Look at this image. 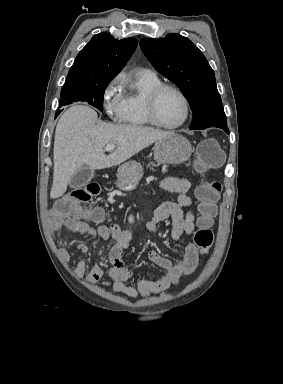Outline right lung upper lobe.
Masks as SVG:
<instances>
[{
  "label": "right lung upper lobe",
  "instance_id": "obj_1",
  "mask_svg": "<svg viewBox=\"0 0 283 384\" xmlns=\"http://www.w3.org/2000/svg\"><path fill=\"white\" fill-rule=\"evenodd\" d=\"M137 40H117L99 33L79 52L69 70L64 87L109 83L126 65L137 47Z\"/></svg>",
  "mask_w": 283,
  "mask_h": 384
}]
</instances>
